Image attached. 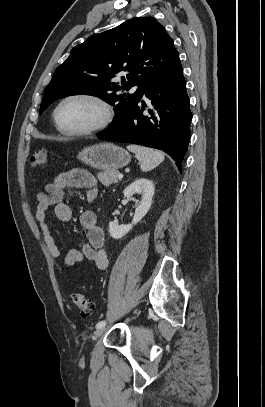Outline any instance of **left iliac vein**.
Segmentation results:
<instances>
[{
	"label": "left iliac vein",
	"mask_w": 265,
	"mask_h": 407,
	"mask_svg": "<svg viewBox=\"0 0 265 407\" xmlns=\"http://www.w3.org/2000/svg\"><path fill=\"white\" fill-rule=\"evenodd\" d=\"M104 332H105V327L98 328L93 334V339L99 338Z\"/></svg>",
	"instance_id": "1"
}]
</instances>
